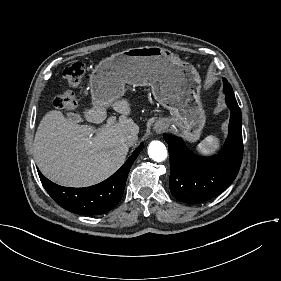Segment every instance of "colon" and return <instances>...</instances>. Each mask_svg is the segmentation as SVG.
<instances>
[{
    "mask_svg": "<svg viewBox=\"0 0 281 281\" xmlns=\"http://www.w3.org/2000/svg\"><path fill=\"white\" fill-rule=\"evenodd\" d=\"M86 66L83 62L77 61L67 66L63 72V79L70 85H76L85 75ZM55 105L62 111H73L77 106V99L73 92L64 91L56 99Z\"/></svg>",
    "mask_w": 281,
    "mask_h": 281,
    "instance_id": "1",
    "label": "colon"
}]
</instances>
